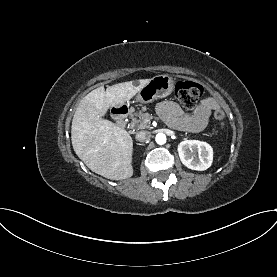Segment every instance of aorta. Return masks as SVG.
<instances>
[{"mask_svg": "<svg viewBox=\"0 0 277 277\" xmlns=\"http://www.w3.org/2000/svg\"><path fill=\"white\" fill-rule=\"evenodd\" d=\"M155 139H156L157 144H159V145H163L166 143V135L163 133H158L156 135Z\"/></svg>", "mask_w": 277, "mask_h": 277, "instance_id": "aorta-1", "label": "aorta"}]
</instances>
